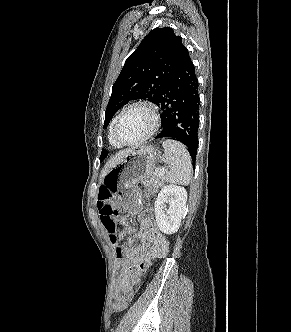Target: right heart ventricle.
<instances>
[{"mask_svg":"<svg viewBox=\"0 0 291 332\" xmlns=\"http://www.w3.org/2000/svg\"><path fill=\"white\" fill-rule=\"evenodd\" d=\"M113 123H114V120L112 121V123L110 125V129H109V141L113 147L120 148V147H122V145L120 143H118L113 136Z\"/></svg>","mask_w":291,"mask_h":332,"instance_id":"e07e8e85","label":"right heart ventricle"}]
</instances>
